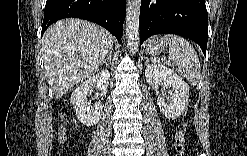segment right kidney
I'll use <instances>...</instances> for the list:
<instances>
[{
    "mask_svg": "<svg viewBox=\"0 0 247 156\" xmlns=\"http://www.w3.org/2000/svg\"><path fill=\"white\" fill-rule=\"evenodd\" d=\"M109 80V71L103 69L96 75H92L86 81L82 82L72 92L70 102L78 120L83 125L93 126L99 122L103 106L100 102H96L94 106H91L87 96L91 94L94 88L99 91L106 90L109 85Z\"/></svg>",
    "mask_w": 247,
    "mask_h": 156,
    "instance_id": "obj_1",
    "label": "right kidney"
}]
</instances>
